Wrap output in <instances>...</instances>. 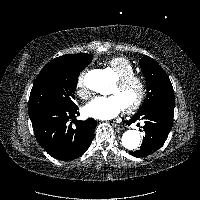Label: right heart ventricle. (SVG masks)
<instances>
[{
	"label": "right heart ventricle",
	"mask_w": 200,
	"mask_h": 200,
	"mask_svg": "<svg viewBox=\"0 0 200 200\" xmlns=\"http://www.w3.org/2000/svg\"><path fill=\"white\" fill-rule=\"evenodd\" d=\"M106 66L119 78L134 74L136 71L133 63L124 56H116L106 61Z\"/></svg>",
	"instance_id": "1"
}]
</instances>
